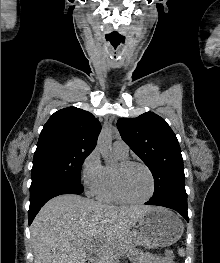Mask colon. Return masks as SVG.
Masks as SVG:
<instances>
[{
    "instance_id": "5ec220e1",
    "label": "colon",
    "mask_w": 220,
    "mask_h": 263,
    "mask_svg": "<svg viewBox=\"0 0 220 263\" xmlns=\"http://www.w3.org/2000/svg\"><path fill=\"white\" fill-rule=\"evenodd\" d=\"M165 258L170 261V263H174L175 255L174 252L171 250L166 251Z\"/></svg>"
}]
</instances>
